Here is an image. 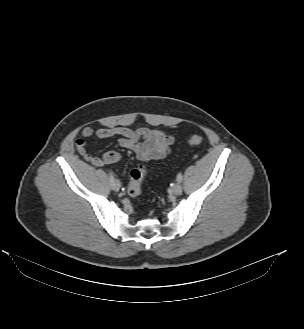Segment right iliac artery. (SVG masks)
Wrapping results in <instances>:
<instances>
[{"label":"right iliac artery","mask_w":304,"mask_h":329,"mask_svg":"<svg viewBox=\"0 0 304 329\" xmlns=\"http://www.w3.org/2000/svg\"><path fill=\"white\" fill-rule=\"evenodd\" d=\"M109 181H110V185L113 189V186L115 184V178L113 177V175L111 173L109 174Z\"/></svg>","instance_id":"obj_1"}]
</instances>
